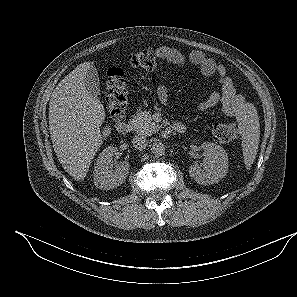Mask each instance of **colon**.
Returning <instances> with one entry per match:
<instances>
[{
    "label": "colon",
    "mask_w": 297,
    "mask_h": 297,
    "mask_svg": "<svg viewBox=\"0 0 297 297\" xmlns=\"http://www.w3.org/2000/svg\"><path fill=\"white\" fill-rule=\"evenodd\" d=\"M129 63L133 67L152 71L157 66L156 54L152 49H141L130 55ZM106 93L110 118L117 124L123 120L128 104L127 83L121 67L114 66L108 70ZM212 134L214 139L220 143L234 142L239 136L237 126L226 122L214 124Z\"/></svg>",
    "instance_id": "colon-1"
}]
</instances>
